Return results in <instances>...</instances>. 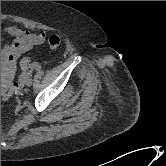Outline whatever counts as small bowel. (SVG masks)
<instances>
[{"mask_svg":"<svg viewBox=\"0 0 166 166\" xmlns=\"http://www.w3.org/2000/svg\"><path fill=\"white\" fill-rule=\"evenodd\" d=\"M3 31L14 38L13 42L1 51V65H6L10 71L16 68V61L22 54L44 43L47 37L45 31L32 33L13 25L4 27Z\"/></svg>","mask_w":166,"mask_h":166,"instance_id":"small-bowel-1","label":"small bowel"}]
</instances>
